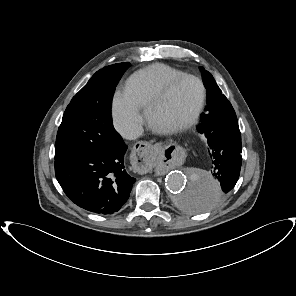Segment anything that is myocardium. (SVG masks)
Instances as JSON below:
<instances>
[{"instance_id":"myocardium-1","label":"myocardium","mask_w":296,"mask_h":296,"mask_svg":"<svg viewBox=\"0 0 296 296\" xmlns=\"http://www.w3.org/2000/svg\"><path fill=\"white\" fill-rule=\"evenodd\" d=\"M185 79H191L194 80L200 90L198 101L193 108V110L181 121L172 123V124H161L156 119V111L160 106L163 105V103L166 101L168 96L170 95L171 91L174 89V87L182 80ZM206 100V88L203 83V81L192 74H182L175 78H173L171 81H169L165 87L160 91V93L152 100V102L147 107V118L150 123V125L158 132L165 133V134H171L176 133L179 131H182L184 129H187L191 125L194 124V122L199 117L202 108L204 106Z\"/></svg>"}]
</instances>
